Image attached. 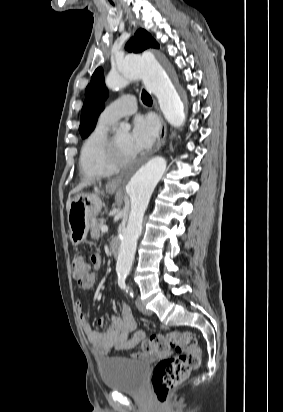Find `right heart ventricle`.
<instances>
[{
  "mask_svg": "<svg viewBox=\"0 0 283 412\" xmlns=\"http://www.w3.org/2000/svg\"><path fill=\"white\" fill-rule=\"evenodd\" d=\"M111 125L99 120L84 140L79 156V170L82 177L108 176L116 171L106 159L108 130Z\"/></svg>",
  "mask_w": 283,
  "mask_h": 412,
  "instance_id": "1",
  "label": "right heart ventricle"
}]
</instances>
